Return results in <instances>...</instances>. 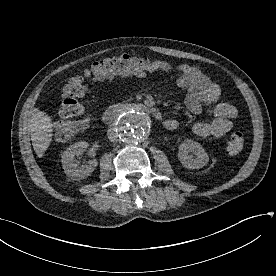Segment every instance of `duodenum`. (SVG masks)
Segmentation results:
<instances>
[{
	"instance_id": "duodenum-1",
	"label": "duodenum",
	"mask_w": 276,
	"mask_h": 276,
	"mask_svg": "<svg viewBox=\"0 0 276 276\" xmlns=\"http://www.w3.org/2000/svg\"><path fill=\"white\" fill-rule=\"evenodd\" d=\"M140 110L152 115L156 119H161V111L154 106L146 105L143 103H132V104H118L113 105L106 109L102 114V121L106 124H111L119 117V115L128 110Z\"/></svg>"
}]
</instances>
